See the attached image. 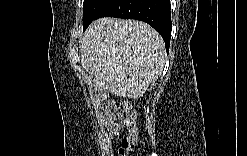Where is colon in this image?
<instances>
[{
  "label": "colon",
  "instance_id": "5ec220e1",
  "mask_svg": "<svg viewBox=\"0 0 247 156\" xmlns=\"http://www.w3.org/2000/svg\"><path fill=\"white\" fill-rule=\"evenodd\" d=\"M118 118L126 128V135L123 137L118 148V155L126 156L133 152L138 140V128L136 124L135 112L130 103H121Z\"/></svg>",
  "mask_w": 247,
  "mask_h": 156
}]
</instances>
